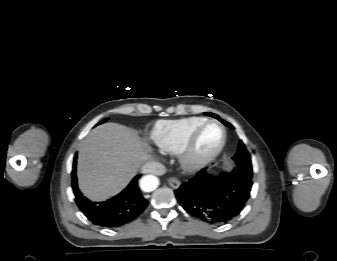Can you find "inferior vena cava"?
Instances as JSON below:
<instances>
[{"label": "inferior vena cava", "instance_id": "1", "mask_svg": "<svg viewBox=\"0 0 337 261\" xmlns=\"http://www.w3.org/2000/svg\"><path fill=\"white\" fill-rule=\"evenodd\" d=\"M142 173H155V174H164L165 167L156 161H149L142 166Z\"/></svg>", "mask_w": 337, "mask_h": 261}]
</instances>
